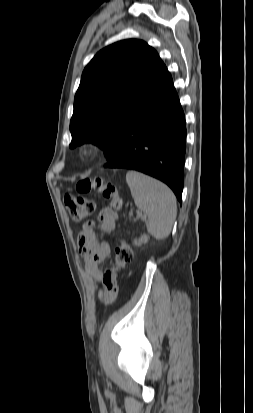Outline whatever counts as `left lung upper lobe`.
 Here are the masks:
<instances>
[{"label": "left lung upper lobe", "mask_w": 253, "mask_h": 413, "mask_svg": "<svg viewBox=\"0 0 253 413\" xmlns=\"http://www.w3.org/2000/svg\"><path fill=\"white\" fill-rule=\"evenodd\" d=\"M166 72L158 53L141 40L119 41L99 51L85 67L74 98L70 147L91 142L112 161L127 121L140 112Z\"/></svg>", "instance_id": "1"}]
</instances>
